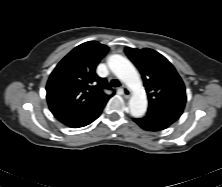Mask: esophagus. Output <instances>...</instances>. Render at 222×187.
<instances>
[{"instance_id": "1", "label": "esophagus", "mask_w": 222, "mask_h": 187, "mask_svg": "<svg viewBox=\"0 0 222 187\" xmlns=\"http://www.w3.org/2000/svg\"><path fill=\"white\" fill-rule=\"evenodd\" d=\"M121 89H122V94H123L125 97H129V96H130L131 92H130V90H129L125 85H123V86L121 87Z\"/></svg>"}]
</instances>
